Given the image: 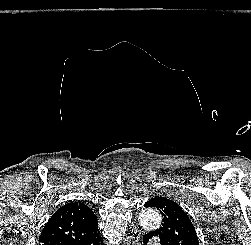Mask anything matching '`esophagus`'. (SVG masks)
Masks as SVG:
<instances>
[{
	"instance_id": "obj_1",
	"label": "esophagus",
	"mask_w": 251,
	"mask_h": 245,
	"mask_svg": "<svg viewBox=\"0 0 251 245\" xmlns=\"http://www.w3.org/2000/svg\"><path fill=\"white\" fill-rule=\"evenodd\" d=\"M141 231L139 228H134L128 238L127 245H141L140 242Z\"/></svg>"
}]
</instances>
